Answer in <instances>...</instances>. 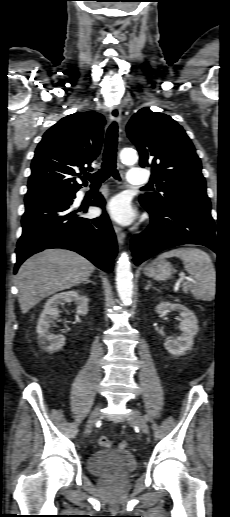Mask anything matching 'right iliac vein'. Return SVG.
Masks as SVG:
<instances>
[{
  "mask_svg": "<svg viewBox=\"0 0 230 517\" xmlns=\"http://www.w3.org/2000/svg\"><path fill=\"white\" fill-rule=\"evenodd\" d=\"M100 415V406L96 407L90 414L89 419L86 424L85 433L89 435L92 431V428L96 421L98 420Z\"/></svg>",
  "mask_w": 230,
  "mask_h": 517,
  "instance_id": "obj_1",
  "label": "right iliac vein"
}]
</instances>
